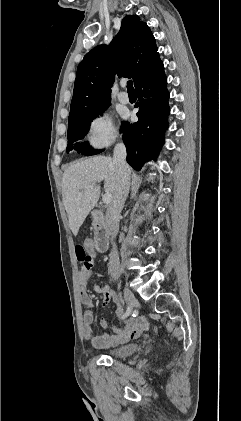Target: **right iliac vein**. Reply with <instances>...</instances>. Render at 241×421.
Instances as JSON below:
<instances>
[{
    "label": "right iliac vein",
    "instance_id": "1",
    "mask_svg": "<svg viewBox=\"0 0 241 421\" xmlns=\"http://www.w3.org/2000/svg\"><path fill=\"white\" fill-rule=\"evenodd\" d=\"M124 298L128 304V307L132 310L137 303L134 294L129 289H124Z\"/></svg>",
    "mask_w": 241,
    "mask_h": 421
}]
</instances>
